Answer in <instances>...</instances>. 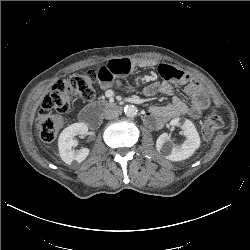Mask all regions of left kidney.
<instances>
[{"mask_svg":"<svg viewBox=\"0 0 250 250\" xmlns=\"http://www.w3.org/2000/svg\"><path fill=\"white\" fill-rule=\"evenodd\" d=\"M169 124L171 127H180L185 140L181 145H175L168 134L163 133L156 141L158 153L170 161H182L189 158L200 146V136L195 125L188 119L181 120L180 118L172 119Z\"/></svg>","mask_w":250,"mask_h":250,"instance_id":"5707ae66","label":"left kidney"}]
</instances>
